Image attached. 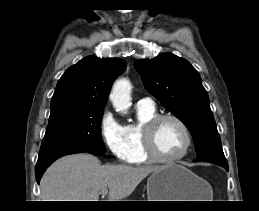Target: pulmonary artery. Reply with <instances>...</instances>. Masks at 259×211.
<instances>
[{"label":"pulmonary artery","instance_id":"e3ab8cb5","mask_svg":"<svg viewBox=\"0 0 259 211\" xmlns=\"http://www.w3.org/2000/svg\"><path fill=\"white\" fill-rule=\"evenodd\" d=\"M137 105L154 107V102L151 98L146 97V98H142V99L138 100Z\"/></svg>","mask_w":259,"mask_h":211}]
</instances>
